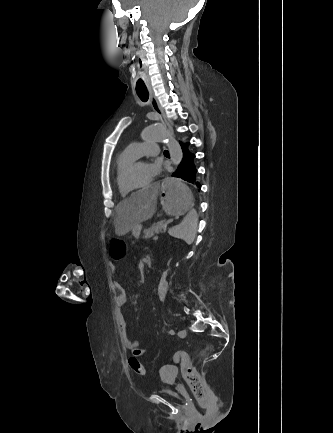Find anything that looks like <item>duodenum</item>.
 Here are the masks:
<instances>
[{"mask_svg": "<svg viewBox=\"0 0 333 433\" xmlns=\"http://www.w3.org/2000/svg\"><path fill=\"white\" fill-rule=\"evenodd\" d=\"M146 261H147V263L150 265L152 260H151L150 257H147V258H146Z\"/></svg>", "mask_w": 333, "mask_h": 433, "instance_id": "410a0bca", "label": "duodenum"}]
</instances>
